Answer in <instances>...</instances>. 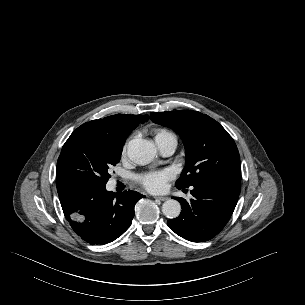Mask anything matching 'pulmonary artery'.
<instances>
[{
    "instance_id": "1",
    "label": "pulmonary artery",
    "mask_w": 305,
    "mask_h": 305,
    "mask_svg": "<svg viewBox=\"0 0 305 305\" xmlns=\"http://www.w3.org/2000/svg\"><path fill=\"white\" fill-rule=\"evenodd\" d=\"M157 146L159 148V151L163 156H170L174 153L176 146H177V140L174 137L157 140L156 141Z\"/></svg>"
}]
</instances>
